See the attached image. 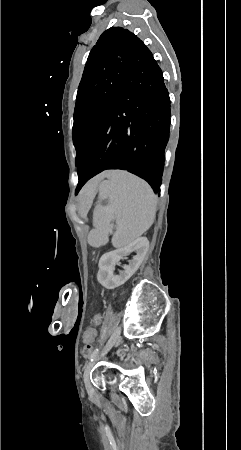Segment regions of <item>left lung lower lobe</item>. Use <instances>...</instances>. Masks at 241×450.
<instances>
[{"mask_svg": "<svg viewBox=\"0 0 241 450\" xmlns=\"http://www.w3.org/2000/svg\"><path fill=\"white\" fill-rule=\"evenodd\" d=\"M170 127V98L162 71L142 41L123 77L116 104L88 137L78 166L81 187L107 169H124L159 191Z\"/></svg>", "mask_w": 241, "mask_h": 450, "instance_id": "left-lung-lower-lobe-1", "label": "left lung lower lobe"}]
</instances>
